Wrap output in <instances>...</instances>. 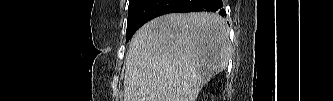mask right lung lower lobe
Returning <instances> with one entry per match:
<instances>
[{"instance_id":"98d812e1","label":"right lung lower lobe","mask_w":333,"mask_h":101,"mask_svg":"<svg viewBox=\"0 0 333 101\" xmlns=\"http://www.w3.org/2000/svg\"><path fill=\"white\" fill-rule=\"evenodd\" d=\"M199 11L226 16L222 0H143L132 22L133 31L135 33L146 22L167 13Z\"/></svg>"}]
</instances>
